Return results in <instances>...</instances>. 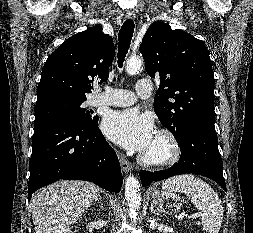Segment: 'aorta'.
Returning a JSON list of instances; mask_svg holds the SVG:
<instances>
[{"mask_svg": "<svg viewBox=\"0 0 253 233\" xmlns=\"http://www.w3.org/2000/svg\"><path fill=\"white\" fill-rule=\"evenodd\" d=\"M142 67V61L137 57H131L127 61L126 72L136 75ZM125 196L129 206V216L135 220L141 204L140 184L134 176H128L125 180Z\"/></svg>", "mask_w": 253, "mask_h": 233, "instance_id": "1", "label": "aorta"}]
</instances>
